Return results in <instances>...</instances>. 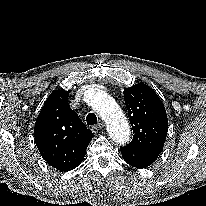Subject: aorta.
Returning <instances> with one entry per match:
<instances>
[{
	"label": "aorta",
	"mask_w": 206,
	"mask_h": 206,
	"mask_svg": "<svg viewBox=\"0 0 206 206\" xmlns=\"http://www.w3.org/2000/svg\"><path fill=\"white\" fill-rule=\"evenodd\" d=\"M90 104L93 109L105 120L112 140L124 145L129 141V124L116 101L105 91L93 90Z\"/></svg>",
	"instance_id": "aorta-1"
}]
</instances>
